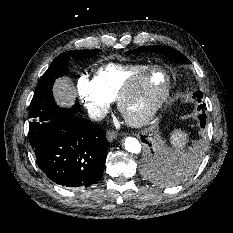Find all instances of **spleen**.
I'll return each mask as SVG.
<instances>
[{"label": "spleen", "instance_id": "3e777b00", "mask_svg": "<svg viewBox=\"0 0 233 233\" xmlns=\"http://www.w3.org/2000/svg\"><path fill=\"white\" fill-rule=\"evenodd\" d=\"M187 137L188 135L181 130L177 129L173 132L170 139L175 154L186 155V143L189 141Z\"/></svg>", "mask_w": 233, "mask_h": 233}]
</instances>
